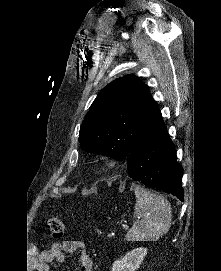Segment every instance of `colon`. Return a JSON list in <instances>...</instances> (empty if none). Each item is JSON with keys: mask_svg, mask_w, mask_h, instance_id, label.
Returning a JSON list of instances; mask_svg holds the SVG:
<instances>
[{"mask_svg": "<svg viewBox=\"0 0 221 271\" xmlns=\"http://www.w3.org/2000/svg\"><path fill=\"white\" fill-rule=\"evenodd\" d=\"M46 229L55 237L59 238L63 235V220L58 216H48L45 220Z\"/></svg>", "mask_w": 221, "mask_h": 271, "instance_id": "1", "label": "colon"}]
</instances>
